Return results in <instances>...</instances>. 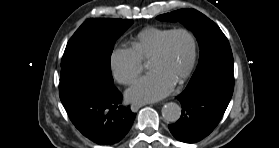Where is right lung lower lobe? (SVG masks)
Here are the masks:
<instances>
[{
	"mask_svg": "<svg viewBox=\"0 0 279 148\" xmlns=\"http://www.w3.org/2000/svg\"><path fill=\"white\" fill-rule=\"evenodd\" d=\"M60 99L75 127L97 144L125 137L136 114L122 107V95L100 74L95 58L84 49L65 50L61 61Z\"/></svg>",
	"mask_w": 279,
	"mask_h": 148,
	"instance_id": "right-lung-lower-lobe-1",
	"label": "right lung lower lobe"
}]
</instances>
